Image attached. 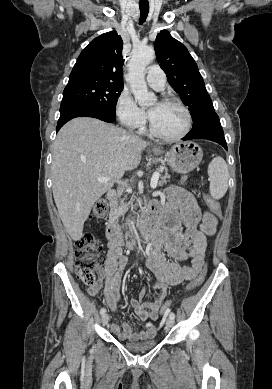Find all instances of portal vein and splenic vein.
<instances>
[{
  "mask_svg": "<svg viewBox=\"0 0 272 389\" xmlns=\"http://www.w3.org/2000/svg\"><path fill=\"white\" fill-rule=\"evenodd\" d=\"M159 177H160V174L159 172H155L153 175H152V178H151V182H150V186L152 189H155L156 186H157V183H158V180H159ZM110 179L109 178H98V181L99 182H108ZM119 184L121 185H126L125 182H122V181H117Z\"/></svg>",
  "mask_w": 272,
  "mask_h": 389,
  "instance_id": "18ae733b",
  "label": "portal vein and splenic vein"
}]
</instances>
